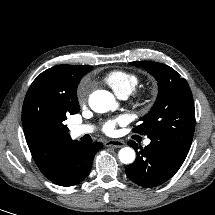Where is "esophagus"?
Masks as SVG:
<instances>
[{
    "label": "esophagus",
    "mask_w": 215,
    "mask_h": 215,
    "mask_svg": "<svg viewBox=\"0 0 215 215\" xmlns=\"http://www.w3.org/2000/svg\"><path fill=\"white\" fill-rule=\"evenodd\" d=\"M105 145L108 147L121 148L125 146V143L121 140H108L105 142Z\"/></svg>",
    "instance_id": "obj_1"
}]
</instances>
